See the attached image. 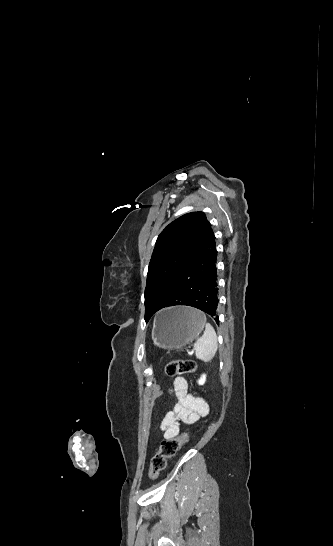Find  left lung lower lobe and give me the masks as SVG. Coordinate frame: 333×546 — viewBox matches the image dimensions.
<instances>
[{
  "mask_svg": "<svg viewBox=\"0 0 333 546\" xmlns=\"http://www.w3.org/2000/svg\"><path fill=\"white\" fill-rule=\"evenodd\" d=\"M212 229L204 238L198 254L193 262L174 282L170 295L163 305H187L198 308L209 314L219 323L218 317V273L217 250ZM203 262L201 272L195 273V268Z\"/></svg>",
  "mask_w": 333,
  "mask_h": 546,
  "instance_id": "left-lung-lower-lobe-1",
  "label": "left lung lower lobe"
}]
</instances>
